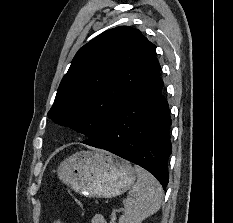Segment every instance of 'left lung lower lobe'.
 I'll return each mask as SVG.
<instances>
[{
    "instance_id": "obj_1",
    "label": "left lung lower lobe",
    "mask_w": 233,
    "mask_h": 223,
    "mask_svg": "<svg viewBox=\"0 0 233 223\" xmlns=\"http://www.w3.org/2000/svg\"><path fill=\"white\" fill-rule=\"evenodd\" d=\"M158 60L141 84L88 142L129 160L152 173L166 189L168 158L172 152L169 139L168 103L161 94Z\"/></svg>"
}]
</instances>
